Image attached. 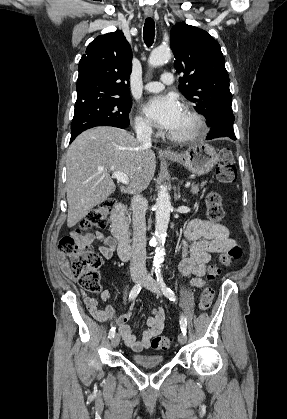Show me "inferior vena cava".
Returning a JSON list of instances; mask_svg holds the SVG:
<instances>
[{"label":"inferior vena cava","mask_w":287,"mask_h":419,"mask_svg":"<svg viewBox=\"0 0 287 419\" xmlns=\"http://www.w3.org/2000/svg\"><path fill=\"white\" fill-rule=\"evenodd\" d=\"M152 129L148 125H141L137 129V140L145 148L151 147ZM133 243L130 260L131 276L144 277L146 270V200L139 191L133 192L131 199Z\"/></svg>","instance_id":"1"}]
</instances>
